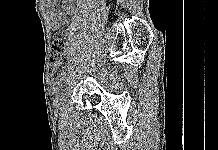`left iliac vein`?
<instances>
[{
  "label": "left iliac vein",
  "instance_id": "1",
  "mask_svg": "<svg viewBox=\"0 0 218 150\" xmlns=\"http://www.w3.org/2000/svg\"><path fill=\"white\" fill-rule=\"evenodd\" d=\"M64 79H65V81H64L65 83L64 84H67L69 82L68 80L70 78L68 76H66ZM61 90H62V88H61ZM54 109H55L56 113H61L63 111V109H64V96L63 95H57L55 97V100H54Z\"/></svg>",
  "mask_w": 218,
  "mask_h": 150
}]
</instances>
